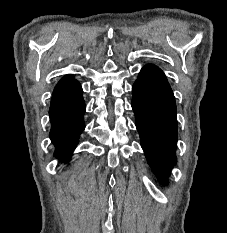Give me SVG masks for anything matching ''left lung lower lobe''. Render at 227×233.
<instances>
[{"label":"left lung lower lobe","mask_w":227,"mask_h":233,"mask_svg":"<svg viewBox=\"0 0 227 233\" xmlns=\"http://www.w3.org/2000/svg\"><path fill=\"white\" fill-rule=\"evenodd\" d=\"M132 93L141 146L153 172L163 181L177 161L176 103L172 89L162 70L149 64L141 69Z\"/></svg>","instance_id":"1"}]
</instances>
